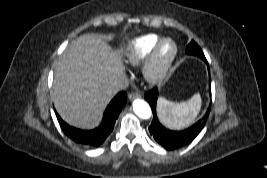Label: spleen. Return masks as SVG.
<instances>
[{"instance_id": "1", "label": "spleen", "mask_w": 267, "mask_h": 178, "mask_svg": "<svg viewBox=\"0 0 267 178\" xmlns=\"http://www.w3.org/2000/svg\"><path fill=\"white\" fill-rule=\"evenodd\" d=\"M201 97L194 94L188 101L175 103L159 98L157 111L161 122L171 129H182L190 126L196 120L201 109Z\"/></svg>"}]
</instances>
